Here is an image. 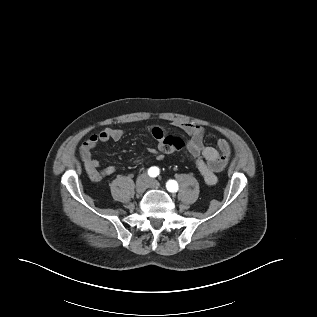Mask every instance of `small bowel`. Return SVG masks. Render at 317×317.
<instances>
[{"mask_svg":"<svg viewBox=\"0 0 317 317\" xmlns=\"http://www.w3.org/2000/svg\"><path fill=\"white\" fill-rule=\"evenodd\" d=\"M174 127L181 130L188 138L187 143L180 149H185L186 152L195 159L196 166L208 185H215L217 183V173L222 171L231 155V146L229 142L221 138L217 142V147H208L204 145L205 130L202 126L183 121H174ZM148 132L157 140L160 141L166 137L162 128L151 126ZM124 137V131L112 127H106L96 134H92L80 148V154L84 167L93 181H99L104 177L111 176L116 172L113 165H108L103 168L100 163L93 157V150L100 142H107L109 140L119 141ZM160 144L157 149H149V153L156 159L161 160L164 154L160 149Z\"/></svg>","mask_w":317,"mask_h":317,"instance_id":"small-bowel-1","label":"small bowel"}]
</instances>
